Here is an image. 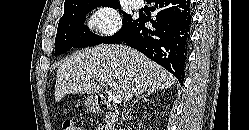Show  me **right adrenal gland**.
Wrapping results in <instances>:
<instances>
[{"mask_svg":"<svg viewBox=\"0 0 249 130\" xmlns=\"http://www.w3.org/2000/svg\"><path fill=\"white\" fill-rule=\"evenodd\" d=\"M153 93V91H148L147 93H145L144 95L138 97L134 102L133 104L130 106V108L128 109L127 113H126V116L131 112L132 110V107L140 100H144V101H148V97Z\"/></svg>","mask_w":249,"mask_h":130,"instance_id":"1","label":"right adrenal gland"}]
</instances>
